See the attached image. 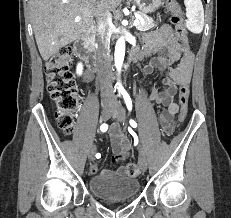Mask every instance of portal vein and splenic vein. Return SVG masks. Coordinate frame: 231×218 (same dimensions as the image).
Instances as JSON below:
<instances>
[{"instance_id": "portal-vein-and-splenic-vein-1", "label": "portal vein and splenic vein", "mask_w": 231, "mask_h": 218, "mask_svg": "<svg viewBox=\"0 0 231 218\" xmlns=\"http://www.w3.org/2000/svg\"><path fill=\"white\" fill-rule=\"evenodd\" d=\"M79 20H80L79 17H76V18H75V21H79ZM141 22H143V19H142V18H137V19H135V21H134V26H138Z\"/></svg>"}]
</instances>
